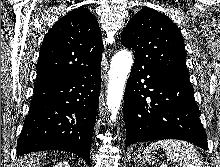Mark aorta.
<instances>
[{"label": "aorta", "instance_id": "1", "mask_svg": "<svg viewBox=\"0 0 220 167\" xmlns=\"http://www.w3.org/2000/svg\"><path fill=\"white\" fill-rule=\"evenodd\" d=\"M132 65L133 56L128 50H121L112 57L107 91V107L108 112L111 113L110 122L117 119L123 99L124 86Z\"/></svg>", "mask_w": 220, "mask_h": 167}]
</instances>
